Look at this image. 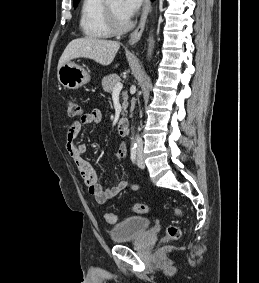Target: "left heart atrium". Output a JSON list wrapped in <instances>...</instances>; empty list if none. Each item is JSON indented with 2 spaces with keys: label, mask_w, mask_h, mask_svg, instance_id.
Masks as SVG:
<instances>
[{
  "label": "left heart atrium",
  "mask_w": 259,
  "mask_h": 283,
  "mask_svg": "<svg viewBox=\"0 0 259 283\" xmlns=\"http://www.w3.org/2000/svg\"><path fill=\"white\" fill-rule=\"evenodd\" d=\"M142 0H121V12L126 19H130L138 10Z\"/></svg>",
  "instance_id": "left-heart-atrium-1"
}]
</instances>
